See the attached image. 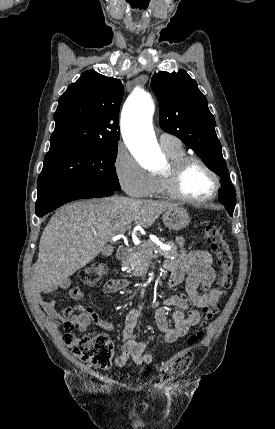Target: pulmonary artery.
I'll return each instance as SVG.
<instances>
[{
	"mask_svg": "<svg viewBox=\"0 0 275 429\" xmlns=\"http://www.w3.org/2000/svg\"><path fill=\"white\" fill-rule=\"evenodd\" d=\"M159 143L163 149H175L182 146L181 141L168 133H161L159 135Z\"/></svg>",
	"mask_w": 275,
	"mask_h": 429,
	"instance_id": "1",
	"label": "pulmonary artery"
}]
</instances>
